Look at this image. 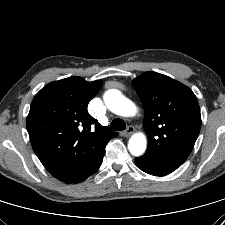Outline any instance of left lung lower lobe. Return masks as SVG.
<instances>
[{
	"label": "left lung lower lobe",
	"instance_id": "0a47b994",
	"mask_svg": "<svg viewBox=\"0 0 225 225\" xmlns=\"http://www.w3.org/2000/svg\"><path fill=\"white\" fill-rule=\"evenodd\" d=\"M135 163L139 169L154 176H165L179 168V165L148 152L135 158Z\"/></svg>",
	"mask_w": 225,
	"mask_h": 225
}]
</instances>
